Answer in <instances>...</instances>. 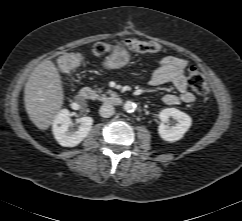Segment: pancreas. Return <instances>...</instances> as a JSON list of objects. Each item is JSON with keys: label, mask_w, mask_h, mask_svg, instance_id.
Listing matches in <instances>:
<instances>
[{"label": "pancreas", "mask_w": 242, "mask_h": 221, "mask_svg": "<svg viewBox=\"0 0 242 221\" xmlns=\"http://www.w3.org/2000/svg\"><path fill=\"white\" fill-rule=\"evenodd\" d=\"M99 92L101 91L99 90ZM109 93H112V91H109ZM106 99H107L106 95H102L101 100H106Z\"/></svg>", "instance_id": "1"}]
</instances>
